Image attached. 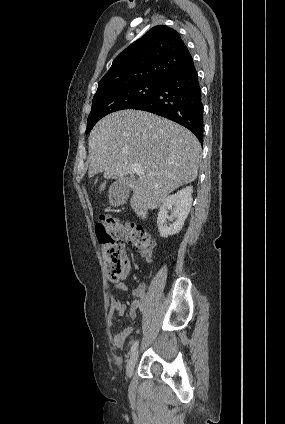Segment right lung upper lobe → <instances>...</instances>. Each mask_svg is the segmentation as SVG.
Wrapping results in <instances>:
<instances>
[{"mask_svg": "<svg viewBox=\"0 0 285 424\" xmlns=\"http://www.w3.org/2000/svg\"><path fill=\"white\" fill-rule=\"evenodd\" d=\"M191 62L192 56L179 33L168 26L158 25L114 59L97 91L139 81L163 82Z\"/></svg>", "mask_w": 285, "mask_h": 424, "instance_id": "obj_1", "label": "right lung upper lobe"}]
</instances>
